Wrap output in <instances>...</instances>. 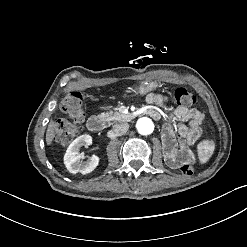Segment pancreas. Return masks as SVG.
<instances>
[{
	"mask_svg": "<svg viewBox=\"0 0 247 247\" xmlns=\"http://www.w3.org/2000/svg\"><path fill=\"white\" fill-rule=\"evenodd\" d=\"M100 117L105 119L107 122L110 121H126L128 116L126 114H121L119 112H107L101 113Z\"/></svg>",
	"mask_w": 247,
	"mask_h": 247,
	"instance_id": "pancreas-1",
	"label": "pancreas"
}]
</instances>
